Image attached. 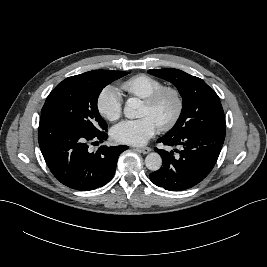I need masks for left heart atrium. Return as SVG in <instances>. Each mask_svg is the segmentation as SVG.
<instances>
[{
    "mask_svg": "<svg viewBox=\"0 0 267 267\" xmlns=\"http://www.w3.org/2000/svg\"><path fill=\"white\" fill-rule=\"evenodd\" d=\"M157 123L149 116L139 119L125 120L115 125L111 130L112 138L123 144L143 145L158 130Z\"/></svg>",
    "mask_w": 267,
    "mask_h": 267,
    "instance_id": "obj_1",
    "label": "left heart atrium"
}]
</instances>
